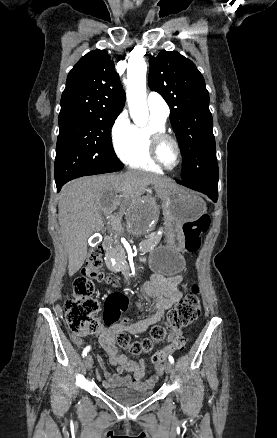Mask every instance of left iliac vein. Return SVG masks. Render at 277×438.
I'll list each match as a JSON object with an SVG mask.
<instances>
[{"mask_svg": "<svg viewBox=\"0 0 277 438\" xmlns=\"http://www.w3.org/2000/svg\"><path fill=\"white\" fill-rule=\"evenodd\" d=\"M173 371V365L171 362H166L165 363V372L167 374H170Z\"/></svg>", "mask_w": 277, "mask_h": 438, "instance_id": "left-iliac-vein-1", "label": "left iliac vein"}]
</instances>
